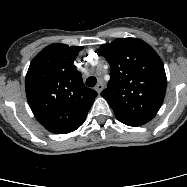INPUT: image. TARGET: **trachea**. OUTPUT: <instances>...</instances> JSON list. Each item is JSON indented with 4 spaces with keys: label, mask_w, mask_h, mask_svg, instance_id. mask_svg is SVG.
<instances>
[{
    "label": "trachea",
    "mask_w": 187,
    "mask_h": 187,
    "mask_svg": "<svg viewBox=\"0 0 187 187\" xmlns=\"http://www.w3.org/2000/svg\"><path fill=\"white\" fill-rule=\"evenodd\" d=\"M96 83H97V79L94 76H90L86 80V85L88 87H94L96 85Z\"/></svg>",
    "instance_id": "1"
}]
</instances>
